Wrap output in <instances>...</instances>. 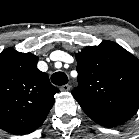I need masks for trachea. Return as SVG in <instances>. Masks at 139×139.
Returning a JSON list of instances; mask_svg holds the SVG:
<instances>
[{"mask_svg":"<svg viewBox=\"0 0 139 139\" xmlns=\"http://www.w3.org/2000/svg\"><path fill=\"white\" fill-rule=\"evenodd\" d=\"M51 82L58 86L65 85L68 82V77L63 72H56L51 76Z\"/></svg>","mask_w":139,"mask_h":139,"instance_id":"obj_1","label":"trachea"}]
</instances>
